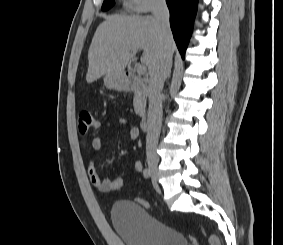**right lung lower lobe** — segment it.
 <instances>
[{
    "instance_id": "98d812e1",
    "label": "right lung lower lobe",
    "mask_w": 283,
    "mask_h": 245,
    "mask_svg": "<svg viewBox=\"0 0 283 245\" xmlns=\"http://www.w3.org/2000/svg\"><path fill=\"white\" fill-rule=\"evenodd\" d=\"M176 45L184 58L191 37L198 0H166Z\"/></svg>"
}]
</instances>
